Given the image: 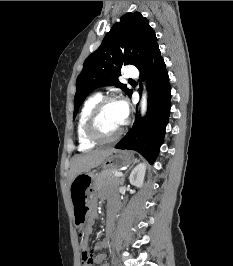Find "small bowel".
<instances>
[{
    "instance_id": "c3829d8e",
    "label": "small bowel",
    "mask_w": 233,
    "mask_h": 266,
    "mask_svg": "<svg viewBox=\"0 0 233 266\" xmlns=\"http://www.w3.org/2000/svg\"><path fill=\"white\" fill-rule=\"evenodd\" d=\"M116 208L118 207V203L115 200L110 201V205ZM97 213H96V207L93 205L92 210L90 212L89 221L90 223H93L96 220ZM114 229V219L113 220H107L106 224V238L103 240L97 242L91 249H89V243H90V237H91V227L85 228L81 233V254L83 252H90L92 254L91 262L88 265L83 266H93V265H101V266H108L104 263L105 261V254L100 253L103 249L107 248L110 245V237L112 235ZM96 254V255H93Z\"/></svg>"
}]
</instances>
